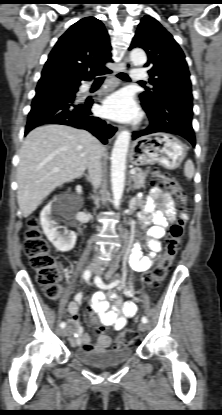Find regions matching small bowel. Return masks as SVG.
Returning <instances> with one entry per match:
<instances>
[{
	"label": "small bowel",
	"instance_id": "1",
	"mask_svg": "<svg viewBox=\"0 0 222 415\" xmlns=\"http://www.w3.org/2000/svg\"><path fill=\"white\" fill-rule=\"evenodd\" d=\"M172 195L159 187H153L143 203L139 218L147 228L146 245L149 249L147 255H143L140 244H135L130 254V265L137 272L148 271L154 263L156 255L161 251L160 240L165 236L170 222H174L179 215ZM101 288V287H100ZM121 291L127 298L134 296L131 285L122 286ZM82 293L76 294L74 300L68 304L69 323L71 326L70 341L74 347L85 351L102 352L109 348L111 338L101 331L96 343H92L88 333L84 332L79 322V307ZM92 310L105 327H113L122 330L126 326L127 319L134 317L138 308L131 301H124L120 295L105 288L97 291L92 297Z\"/></svg>",
	"mask_w": 222,
	"mask_h": 415
}]
</instances>
